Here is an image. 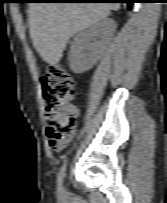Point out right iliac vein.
I'll use <instances>...</instances> for the list:
<instances>
[{
	"instance_id": "obj_1",
	"label": "right iliac vein",
	"mask_w": 167,
	"mask_h": 203,
	"mask_svg": "<svg viewBox=\"0 0 167 203\" xmlns=\"http://www.w3.org/2000/svg\"><path fill=\"white\" fill-rule=\"evenodd\" d=\"M65 193H66L65 189H62V195H65Z\"/></svg>"
}]
</instances>
